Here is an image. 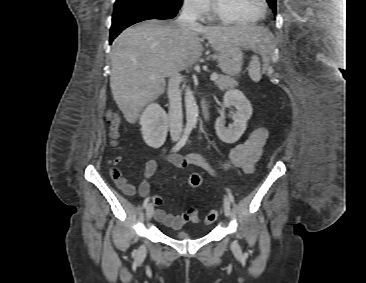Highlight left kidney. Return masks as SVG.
<instances>
[{
	"label": "left kidney",
	"instance_id": "1",
	"mask_svg": "<svg viewBox=\"0 0 366 283\" xmlns=\"http://www.w3.org/2000/svg\"><path fill=\"white\" fill-rule=\"evenodd\" d=\"M224 107L234 106L237 111L230 112L233 124L225 127L224 116L221 115L215 122L216 134L225 143H235L242 136L247 127V121L252 115V107L244 94L238 90L227 91L223 100Z\"/></svg>",
	"mask_w": 366,
	"mask_h": 283
}]
</instances>
